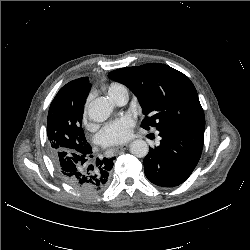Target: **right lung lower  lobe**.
Wrapping results in <instances>:
<instances>
[{
    "instance_id": "1",
    "label": "right lung lower lobe",
    "mask_w": 250,
    "mask_h": 250,
    "mask_svg": "<svg viewBox=\"0 0 250 250\" xmlns=\"http://www.w3.org/2000/svg\"><path fill=\"white\" fill-rule=\"evenodd\" d=\"M89 146L81 153L59 152L52 157L57 172L75 191L85 197L102 192L109 183V173L114 158L92 160Z\"/></svg>"
}]
</instances>
